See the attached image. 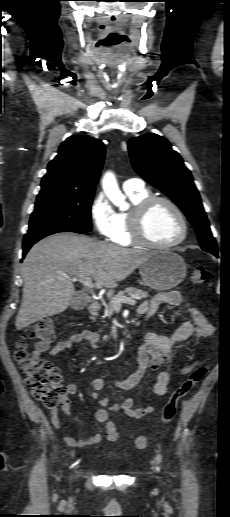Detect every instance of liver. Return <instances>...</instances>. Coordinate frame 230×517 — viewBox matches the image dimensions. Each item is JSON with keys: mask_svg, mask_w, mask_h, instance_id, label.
I'll return each instance as SVG.
<instances>
[{"mask_svg": "<svg viewBox=\"0 0 230 517\" xmlns=\"http://www.w3.org/2000/svg\"><path fill=\"white\" fill-rule=\"evenodd\" d=\"M151 253L73 233L39 241L23 262L24 286L16 329L66 310L75 294L72 278L92 277L99 287L115 288Z\"/></svg>", "mask_w": 230, "mask_h": 517, "instance_id": "1", "label": "liver"}]
</instances>
